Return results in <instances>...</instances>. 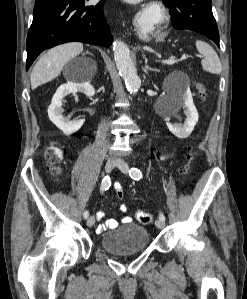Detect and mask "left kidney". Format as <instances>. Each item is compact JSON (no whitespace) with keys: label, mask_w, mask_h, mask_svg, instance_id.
Masks as SVG:
<instances>
[{"label":"left kidney","mask_w":247,"mask_h":299,"mask_svg":"<svg viewBox=\"0 0 247 299\" xmlns=\"http://www.w3.org/2000/svg\"><path fill=\"white\" fill-rule=\"evenodd\" d=\"M182 106L186 108V120L184 124H171L167 122V127L176 137L180 139L187 138L198 122L199 115L193 103L192 94L189 87L179 90L172 95L171 103L169 104L166 114L172 115L178 111Z\"/></svg>","instance_id":"left-kidney-1"}]
</instances>
